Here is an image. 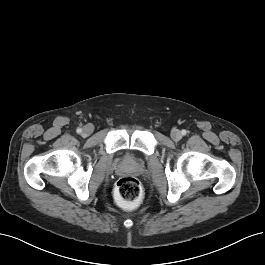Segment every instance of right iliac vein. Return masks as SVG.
<instances>
[{
    "label": "right iliac vein",
    "mask_w": 265,
    "mask_h": 265,
    "mask_svg": "<svg viewBox=\"0 0 265 265\" xmlns=\"http://www.w3.org/2000/svg\"><path fill=\"white\" fill-rule=\"evenodd\" d=\"M93 132V126L91 124H87L83 127L82 134L84 136H89Z\"/></svg>",
    "instance_id": "1"
}]
</instances>
